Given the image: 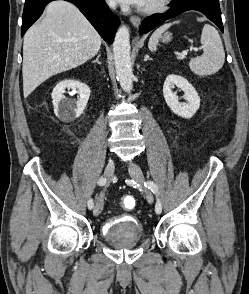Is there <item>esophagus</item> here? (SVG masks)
I'll use <instances>...</instances> for the list:
<instances>
[{"instance_id":"34e87169","label":"esophagus","mask_w":249,"mask_h":294,"mask_svg":"<svg viewBox=\"0 0 249 294\" xmlns=\"http://www.w3.org/2000/svg\"><path fill=\"white\" fill-rule=\"evenodd\" d=\"M130 21L135 27H138L141 23V19L137 16H131Z\"/></svg>"}]
</instances>
